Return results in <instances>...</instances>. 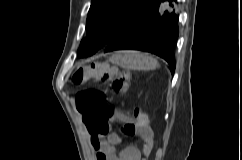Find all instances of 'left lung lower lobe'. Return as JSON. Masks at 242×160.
<instances>
[{
    "instance_id": "0a47b994",
    "label": "left lung lower lobe",
    "mask_w": 242,
    "mask_h": 160,
    "mask_svg": "<svg viewBox=\"0 0 242 160\" xmlns=\"http://www.w3.org/2000/svg\"><path fill=\"white\" fill-rule=\"evenodd\" d=\"M177 0H152L119 35L106 46L105 52L132 49L154 53L175 70L174 45L178 38Z\"/></svg>"
}]
</instances>
